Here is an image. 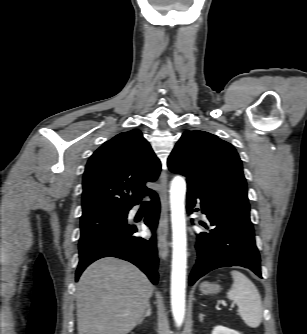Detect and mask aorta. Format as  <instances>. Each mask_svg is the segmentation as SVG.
<instances>
[{
  "label": "aorta",
  "mask_w": 307,
  "mask_h": 334,
  "mask_svg": "<svg viewBox=\"0 0 307 334\" xmlns=\"http://www.w3.org/2000/svg\"><path fill=\"white\" fill-rule=\"evenodd\" d=\"M186 182L181 176L173 178L170 187L172 222L171 309L177 327L185 317L187 238L185 218Z\"/></svg>",
  "instance_id": "1"
}]
</instances>
